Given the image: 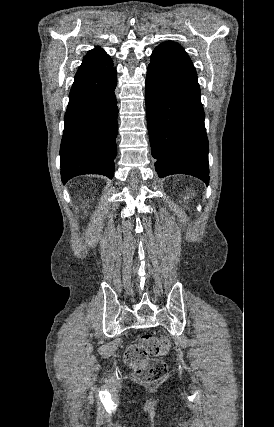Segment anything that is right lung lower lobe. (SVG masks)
Wrapping results in <instances>:
<instances>
[{"label": "right lung lower lobe", "instance_id": "obj_1", "mask_svg": "<svg viewBox=\"0 0 274 427\" xmlns=\"http://www.w3.org/2000/svg\"><path fill=\"white\" fill-rule=\"evenodd\" d=\"M116 83L113 63L76 73L60 148L63 184L82 174L113 178L118 131Z\"/></svg>", "mask_w": 274, "mask_h": 427}]
</instances>
